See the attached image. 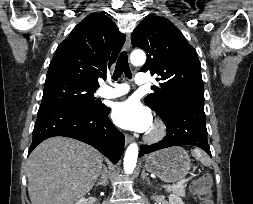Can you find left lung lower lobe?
<instances>
[{
    "mask_svg": "<svg viewBox=\"0 0 253 204\" xmlns=\"http://www.w3.org/2000/svg\"><path fill=\"white\" fill-rule=\"evenodd\" d=\"M163 121L167 126L166 137L156 144L142 145L139 156L178 145H194L211 156L207 142L204 104L195 103L180 107Z\"/></svg>",
    "mask_w": 253,
    "mask_h": 204,
    "instance_id": "left-lung-lower-lobe-1",
    "label": "left lung lower lobe"
}]
</instances>
